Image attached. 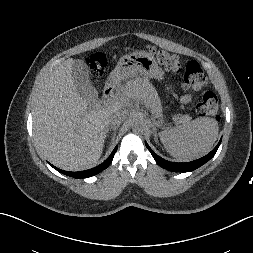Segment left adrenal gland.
I'll use <instances>...</instances> for the list:
<instances>
[{
  "instance_id": "1",
  "label": "left adrenal gland",
  "mask_w": 253,
  "mask_h": 253,
  "mask_svg": "<svg viewBox=\"0 0 253 253\" xmlns=\"http://www.w3.org/2000/svg\"><path fill=\"white\" fill-rule=\"evenodd\" d=\"M157 133H156V128L154 129V140H155V142H157Z\"/></svg>"
}]
</instances>
